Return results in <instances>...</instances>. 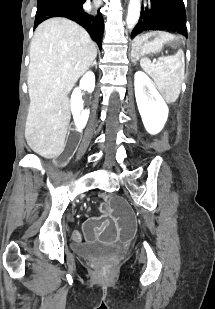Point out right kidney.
Wrapping results in <instances>:
<instances>
[{
	"mask_svg": "<svg viewBox=\"0 0 215 309\" xmlns=\"http://www.w3.org/2000/svg\"><path fill=\"white\" fill-rule=\"evenodd\" d=\"M81 88H86L88 92H93L95 88V74L94 72H91V70H88L86 74H83L81 80H80V86H77V88H74L72 94H71V110L72 114L74 116L75 124L78 128V130H81V128H84L86 126V122L89 118L90 110L89 108H83V102L82 100V92ZM78 108V118L76 120L74 110Z\"/></svg>",
	"mask_w": 215,
	"mask_h": 309,
	"instance_id": "obj_1",
	"label": "right kidney"
}]
</instances>
